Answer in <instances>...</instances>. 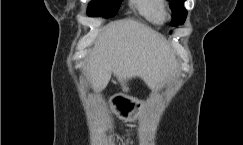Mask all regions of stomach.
<instances>
[{"mask_svg":"<svg viewBox=\"0 0 243 145\" xmlns=\"http://www.w3.org/2000/svg\"><path fill=\"white\" fill-rule=\"evenodd\" d=\"M112 106L120 119L124 121H134L137 119L139 105L134 99H130L124 94H115L112 98Z\"/></svg>","mask_w":243,"mask_h":145,"instance_id":"obj_1","label":"stomach"}]
</instances>
